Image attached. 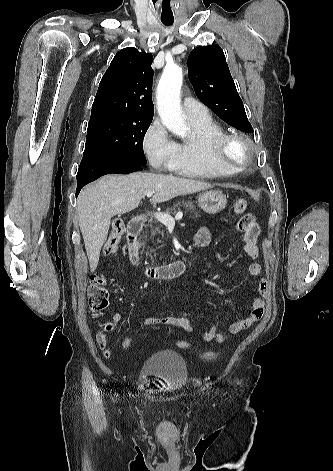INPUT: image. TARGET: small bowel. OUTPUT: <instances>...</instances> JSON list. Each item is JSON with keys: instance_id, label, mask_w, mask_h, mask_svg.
<instances>
[{"instance_id": "obj_1", "label": "small bowel", "mask_w": 333, "mask_h": 471, "mask_svg": "<svg viewBox=\"0 0 333 471\" xmlns=\"http://www.w3.org/2000/svg\"><path fill=\"white\" fill-rule=\"evenodd\" d=\"M237 230L243 233L244 250L251 258H257L259 249L257 246V239L259 236V225L252 215L243 216L238 224ZM194 241L196 246L200 248L207 247L211 241V235L207 228L201 227L197 230ZM252 276H260L262 274V267L259 263H251L248 268ZM269 297V284L266 279L262 278L258 287V295L254 298L249 314L229 326L227 332L218 331L216 326H211L206 330L202 338L206 342L217 341L218 343L226 342L230 337L247 330L253 324L258 322L264 315L266 300ZM121 316L118 313L112 315L111 321L118 322ZM143 324L146 326L154 325H171L179 328L183 332L190 333L193 331V325L186 317H145ZM96 342L102 350L105 358L112 356V350L108 347L107 338L104 330H99L96 334Z\"/></svg>"}]
</instances>
